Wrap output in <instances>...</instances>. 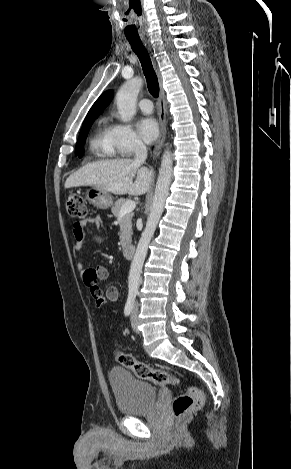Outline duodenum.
<instances>
[{
	"label": "duodenum",
	"mask_w": 291,
	"mask_h": 469,
	"mask_svg": "<svg viewBox=\"0 0 291 469\" xmlns=\"http://www.w3.org/2000/svg\"><path fill=\"white\" fill-rule=\"evenodd\" d=\"M135 253V246L133 244H126L123 248V254L126 258H132Z\"/></svg>",
	"instance_id": "410a0bca"
}]
</instances>
